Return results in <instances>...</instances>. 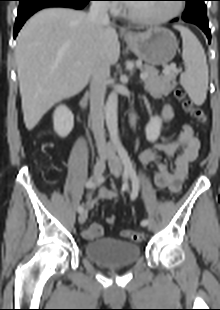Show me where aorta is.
<instances>
[{
  "instance_id": "obj_1",
  "label": "aorta",
  "mask_w": 220,
  "mask_h": 310,
  "mask_svg": "<svg viewBox=\"0 0 220 310\" xmlns=\"http://www.w3.org/2000/svg\"><path fill=\"white\" fill-rule=\"evenodd\" d=\"M117 109H118V94L116 91H113L108 96L105 105V119L113 146L116 148H120L121 143L119 141V133H118Z\"/></svg>"
}]
</instances>
